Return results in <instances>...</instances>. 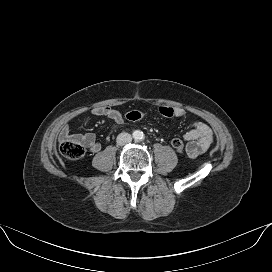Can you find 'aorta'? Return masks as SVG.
Wrapping results in <instances>:
<instances>
[{"mask_svg": "<svg viewBox=\"0 0 272 272\" xmlns=\"http://www.w3.org/2000/svg\"><path fill=\"white\" fill-rule=\"evenodd\" d=\"M133 137H134V139H141L143 137V133L139 130H135L133 132Z\"/></svg>", "mask_w": 272, "mask_h": 272, "instance_id": "obj_1", "label": "aorta"}]
</instances>
